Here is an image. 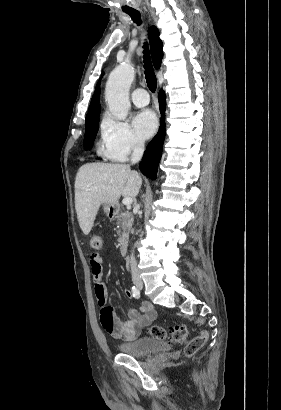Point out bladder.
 Segmentation results:
<instances>
[{
    "label": "bladder",
    "instance_id": "obj_1",
    "mask_svg": "<svg viewBox=\"0 0 281 410\" xmlns=\"http://www.w3.org/2000/svg\"><path fill=\"white\" fill-rule=\"evenodd\" d=\"M170 348L171 346L167 342L150 337H140L132 342L118 345L120 353L133 357L165 353L170 351Z\"/></svg>",
    "mask_w": 281,
    "mask_h": 410
}]
</instances>
